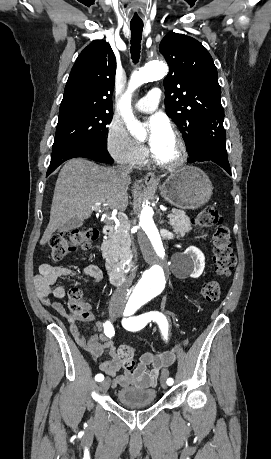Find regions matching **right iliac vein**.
<instances>
[{
    "label": "right iliac vein",
    "mask_w": 271,
    "mask_h": 459,
    "mask_svg": "<svg viewBox=\"0 0 271 459\" xmlns=\"http://www.w3.org/2000/svg\"><path fill=\"white\" fill-rule=\"evenodd\" d=\"M122 313V309L121 308H116V309H113L111 311V315L113 318H116L117 316H119L120 314ZM110 383H111V379L110 378H106L105 380H103L100 384H99V390L102 391V392H106L110 386Z\"/></svg>",
    "instance_id": "right-iliac-vein-1"
}]
</instances>
